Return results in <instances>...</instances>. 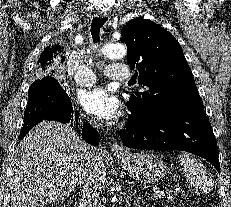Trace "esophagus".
Masks as SVG:
<instances>
[{"instance_id": "34e87169", "label": "esophagus", "mask_w": 231, "mask_h": 207, "mask_svg": "<svg viewBox=\"0 0 231 207\" xmlns=\"http://www.w3.org/2000/svg\"><path fill=\"white\" fill-rule=\"evenodd\" d=\"M99 17L107 18L109 14L107 12H99ZM110 148L113 153H121L124 151V147L117 143V141L113 140L110 142Z\"/></svg>"}]
</instances>
